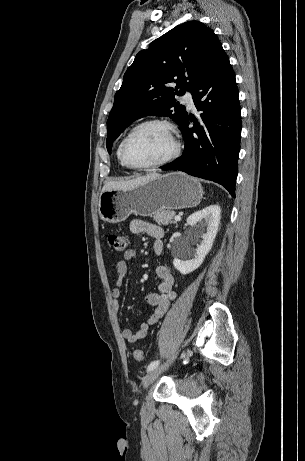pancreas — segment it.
<instances>
[{"instance_id":"cf45deb5","label":"pancreas","mask_w":305,"mask_h":461,"mask_svg":"<svg viewBox=\"0 0 305 461\" xmlns=\"http://www.w3.org/2000/svg\"><path fill=\"white\" fill-rule=\"evenodd\" d=\"M175 216V212L172 210H163L160 212H157L154 214V220L159 224V225H168V224H174L176 221L173 220V217Z\"/></svg>"}]
</instances>
